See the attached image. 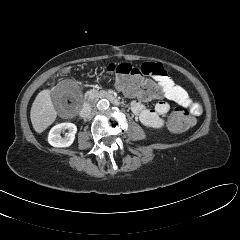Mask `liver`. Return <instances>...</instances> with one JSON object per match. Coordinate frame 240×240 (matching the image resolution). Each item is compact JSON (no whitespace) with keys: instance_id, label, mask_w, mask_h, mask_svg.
Returning <instances> with one entry per match:
<instances>
[{"instance_id":"6515ba94","label":"liver","mask_w":240,"mask_h":240,"mask_svg":"<svg viewBox=\"0 0 240 240\" xmlns=\"http://www.w3.org/2000/svg\"><path fill=\"white\" fill-rule=\"evenodd\" d=\"M50 93V90H43L38 93L31 107L30 118L37 133H42L57 117Z\"/></svg>"}]
</instances>
